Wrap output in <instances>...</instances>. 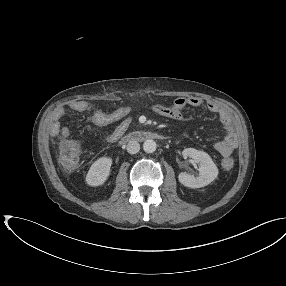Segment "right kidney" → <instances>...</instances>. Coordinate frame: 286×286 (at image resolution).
Here are the masks:
<instances>
[{"mask_svg": "<svg viewBox=\"0 0 286 286\" xmlns=\"http://www.w3.org/2000/svg\"><path fill=\"white\" fill-rule=\"evenodd\" d=\"M112 159L110 157H101L97 159L90 167L86 182L90 186H100L104 184L110 174Z\"/></svg>", "mask_w": 286, "mask_h": 286, "instance_id": "obj_1", "label": "right kidney"}]
</instances>
